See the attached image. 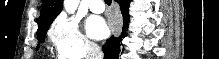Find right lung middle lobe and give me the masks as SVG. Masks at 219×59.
Masks as SVG:
<instances>
[{
    "label": "right lung middle lobe",
    "mask_w": 219,
    "mask_h": 59,
    "mask_svg": "<svg viewBox=\"0 0 219 59\" xmlns=\"http://www.w3.org/2000/svg\"><path fill=\"white\" fill-rule=\"evenodd\" d=\"M48 28H49V26L38 28V31H37L38 41L44 42L45 35H46V32H47ZM37 49H38V46H37Z\"/></svg>",
    "instance_id": "obj_1"
}]
</instances>
